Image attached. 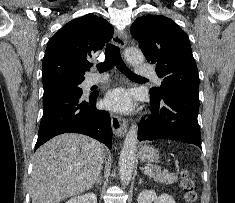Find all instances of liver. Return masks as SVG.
<instances>
[{
    "label": "liver",
    "mask_w": 235,
    "mask_h": 203,
    "mask_svg": "<svg viewBox=\"0 0 235 203\" xmlns=\"http://www.w3.org/2000/svg\"><path fill=\"white\" fill-rule=\"evenodd\" d=\"M105 155V147L85 135L52 138L34 156L32 203H60L89 190L101 173Z\"/></svg>",
    "instance_id": "liver-1"
}]
</instances>
